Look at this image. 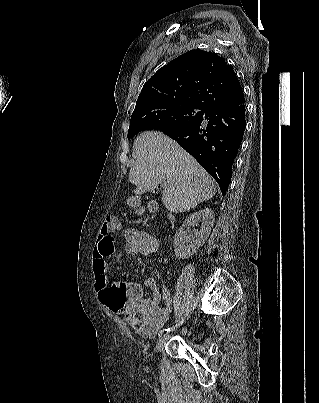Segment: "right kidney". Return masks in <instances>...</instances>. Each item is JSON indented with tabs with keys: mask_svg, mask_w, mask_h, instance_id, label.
I'll return each mask as SVG.
<instances>
[{
	"mask_svg": "<svg viewBox=\"0 0 319 403\" xmlns=\"http://www.w3.org/2000/svg\"><path fill=\"white\" fill-rule=\"evenodd\" d=\"M214 222L215 214L210 208H205L191 214L175 234L173 246L176 257L178 259H188L195 254L198 248L203 246L209 237ZM191 225L199 226L200 231L194 235L187 236L184 228Z\"/></svg>",
	"mask_w": 319,
	"mask_h": 403,
	"instance_id": "right-kidney-1",
	"label": "right kidney"
}]
</instances>
